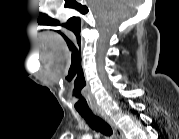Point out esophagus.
I'll return each instance as SVG.
<instances>
[{
    "label": "esophagus",
    "instance_id": "1",
    "mask_svg": "<svg viewBox=\"0 0 179 139\" xmlns=\"http://www.w3.org/2000/svg\"><path fill=\"white\" fill-rule=\"evenodd\" d=\"M95 113L100 116L101 118H103L113 129L116 137L118 139H125V136L123 134V132L121 131V129L112 121V119H110L106 113L102 110V109H96Z\"/></svg>",
    "mask_w": 179,
    "mask_h": 139
}]
</instances>
